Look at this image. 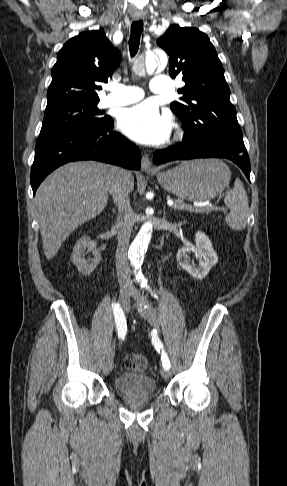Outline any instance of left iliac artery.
<instances>
[{"label":"left iliac artery","mask_w":287,"mask_h":486,"mask_svg":"<svg viewBox=\"0 0 287 486\" xmlns=\"http://www.w3.org/2000/svg\"><path fill=\"white\" fill-rule=\"evenodd\" d=\"M151 294L154 296V298H157V295L155 293H153L152 291H151ZM154 333H155V335L153 334L152 343H153L155 349L159 353H161V361H162L163 368L169 370L170 367H171V364H170V360L168 358V355L165 353L164 348H163V343L159 340L155 331H154Z\"/></svg>","instance_id":"obj_1"}]
</instances>
